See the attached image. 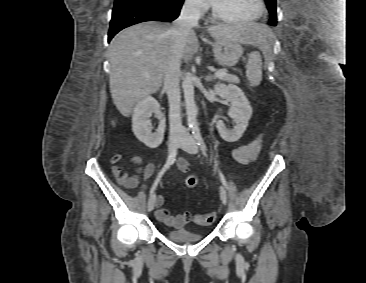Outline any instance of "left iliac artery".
<instances>
[{
    "label": "left iliac artery",
    "mask_w": 366,
    "mask_h": 283,
    "mask_svg": "<svg viewBox=\"0 0 366 283\" xmlns=\"http://www.w3.org/2000/svg\"><path fill=\"white\" fill-rule=\"evenodd\" d=\"M192 134H193L194 138L196 139L197 144L200 146L201 150L203 151V153L206 154L207 147L204 143V140L200 133V129L197 124H194L192 126ZM218 171H219V176H220V180H221L222 184L227 188V182H226L224 175L222 174V172L220 170H218Z\"/></svg>",
    "instance_id": "1"
}]
</instances>
